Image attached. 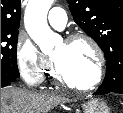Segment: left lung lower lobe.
Returning a JSON list of instances; mask_svg holds the SVG:
<instances>
[{
    "instance_id": "left-lung-lower-lobe-1",
    "label": "left lung lower lobe",
    "mask_w": 123,
    "mask_h": 113,
    "mask_svg": "<svg viewBox=\"0 0 123 113\" xmlns=\"http://www.w3.org/2000/svg\"><path fill=\"white\" fill-rule=\"evenodd\" d=\"M110 92L123 94V87H119L116 89H106L100 86L99 89L94 93V95H104Z\"/></svg>"
}]
</instances>
